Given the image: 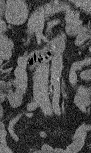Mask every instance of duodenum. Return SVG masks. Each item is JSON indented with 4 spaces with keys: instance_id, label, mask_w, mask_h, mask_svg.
Returning <instances> with one entry per match:
<instances>
[{
    "instance_id": "obj_1",
    "label": "duodenum",
    "mask_w": 91,
    "mask_h": 153,
    "mask_svg": "<svg viewBox=\"0 0 91 153\" xmlns=\"http://www.w3.org/2000/svg\"><path fill=\"white\" fill-rule=\"evenodd\" d=\"M62 44L63 38L56 37L42 49L29 52L26 56V59L30 64L33 65L45 64L50 61L52 57L61 49Z\"/></svg>"
}]
</instances>
